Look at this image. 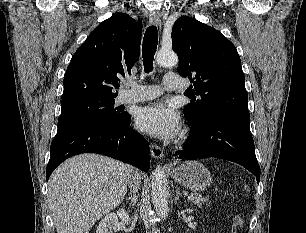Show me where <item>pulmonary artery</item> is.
Segmentation results:
<instances>
[{
    "label": "pulmonary artery",
    "mask_w": 306,
    "mask_h": 233,
    "mask_svg": "<svg viewBox=\"0 0 306 233\" xmlns=\"http://www.w3.org/2000/svg\"><path fill=\"white\" fill-rule=\"evenodd\" d=\"M184 83L178 75H167L164 78V89L167 91H180ZM162 88L157 85H138L126 82L124 89L117 97L118 104L136 103L154 99L161 95Z\"/></svg>",
    "instance_id": "e3ab8cb5"
}]
</instances>
